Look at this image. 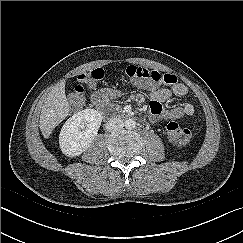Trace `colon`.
I'll return each mask as SVG.
<instances>
[{
    "instance_id": "colon-1",
    "label": "colon",
    "mask_w": 243,
    "mask_h": 243,
    "mask_svg": "<svg viewBox=\"0 0 243 243\" xmlns=\"http://www.w3.org/2000/svg\"><path fill=\"white\" fill-rule=\"evenodd\" d=\"M128 77L136 83L145 85H175L177 77L173 74L162 73L159 71L130 65L125 70ZM104 77V71L101 68L93 69L80 74L77 77L79 82L74 90L70 93L69 98L71 102L77 107H83L85 104V93L82 84H95ZM167 131L172 139L178 145H186L191 139V132L189 129L181 126L177 122H169L167 124Z\"/></svg>"
}]
</instances>
